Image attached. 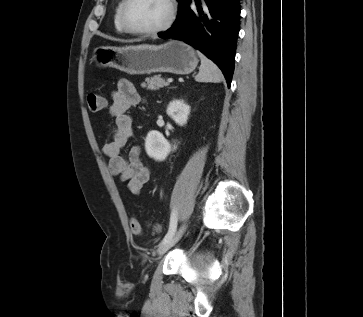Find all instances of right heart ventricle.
<instances>
[{
  "mask_svg": "<svg viewBox=\"0 0 363 317\" xmlns=\"http://www.w3.org/2000/svg\"><path fill=\"white\" fill-rule=\"evenodd\" d=\"M122 3H123V0H119L118 3L116 4L114 14H113V23H114L115 30L118 33L124 34V33H126V31L122 27L121 21H120V9H121Z\"/></svg>",
  "mask_w": 363,
  "mask_h": 317,
  "instance_id": "obj_1",
  "label": "right heart ventricle"
}]
</instances>
